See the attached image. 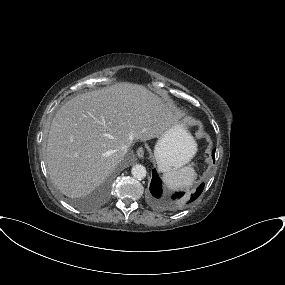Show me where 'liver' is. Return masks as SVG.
<instances>
[{"instance_id":"obj_1","label":"liver","mask_w":285,"mask_h":285,"mask_svg":"<svg viewBox=\"0 0 285 285\" xmlns=\"http://www.w3.org/2000/svg\"><path fill=\"white\" fill-rule=\"evenodd\" d=\"M171 106L142 85H114L67 101L52 120L45 152L48 174L68 197L88 195L120 161L119 150L134 140L161 138Z\"/></svg>"}]
</instances>
